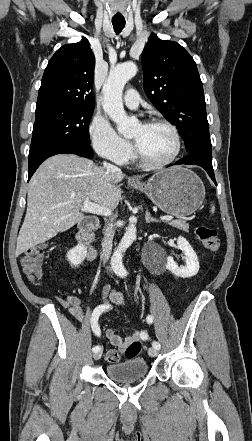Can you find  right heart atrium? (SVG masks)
Returning <instances> with one entry per match:
<instances>
[{
  "label": "right heart atrium",
  "mask_w": 252,
  "mask_h": 441,
  "mask_svg": "<svg viewBox=\"0 0 252 441\" xmlns=\"http://www.w3.org/2000/svg\"><path fill=\"white\" fill-rule=\"evenodd\" d=\"M88 134L94 151L101 157L119 165L131 159L133 154L131 144L116 132L105 116L95 114L92 117Z\"/></svg>",
  "instance_id": "d8ad5b80"
}]
</instances>
